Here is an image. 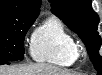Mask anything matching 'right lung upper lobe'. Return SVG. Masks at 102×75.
<instances>
[{"instance_id":"obj_1","label":"right lung upper lobe","mask_w":102,"mask_h":75,"mask_svg":"<svg viewBox=\"0 0 102 75\" xmlns=\"http://www.w3.org/2000/svg\"><path fill=\"white\" fill-rule=\"evenodd\" d=\"M41 0H0V12L38 15Z\"/></svg>"}]
</instances>
